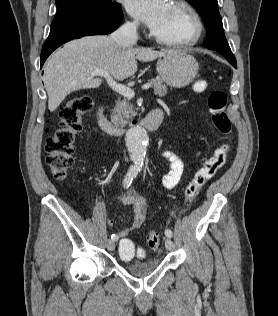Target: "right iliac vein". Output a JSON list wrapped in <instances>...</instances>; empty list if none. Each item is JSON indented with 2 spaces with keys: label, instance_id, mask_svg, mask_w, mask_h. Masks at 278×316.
Masks as SVG:
<instances>
[{
  "label": "right iliac vein",
  "instance_id": "right-iliac-vein-1",
  "mask_svg": "<svg viewBox=\"0 0 278 316\" xmlns=\"http://www.w3.org/2000/svg\"><path fill=\"white\" fill-rule=\"evenodd\" d=\"M107 249L110 250V251H113L115 249V241L108 240V242H107Z\"/></svg>",
  "mask_w": 278,
  "mask_h": 316
}]
</instances>
